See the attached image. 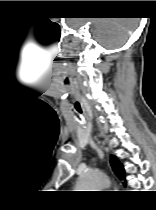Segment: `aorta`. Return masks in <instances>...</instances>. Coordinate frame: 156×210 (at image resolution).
Returning <instances> with one entry per match:
<instances>
[{
    "label": "aorta",
    "instance_id": "1",
    "mask_svg": "<svg viewBox=\"0 0 156 210\" xmlns=\"http://www.w3.org/2000/svg\"><path fill=\"white\" fill-rule=\"evenodd\" d=\"M110 184L107 176L94 170L83 172L77 182L79 191H98L108 187Z\"/></svg>",
    "mask_w": 156,
    "mask_h": 210
}]
</instances>
